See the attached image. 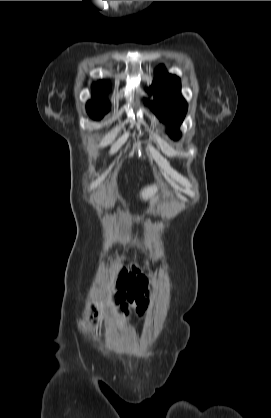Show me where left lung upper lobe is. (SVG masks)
Wrapping results in <instances>:
<instances>
[{"label":"left lung upper lobe","mask_w":271,"mask_h":418,"mask_svg":"<svg viewBox=\"0 0 271 418\" xmlns=\"http://www.w3.org/2000/svg\"><path fill=\"white\" fill-rule=\"evenodd\" d=\"M149 93L154 96V101L149 104L150 108L166 123L172 138H179V126L187 112V103L181 96L180 79L167 74L164 67L159 66Z\"/></svg>","instance_id":"obj_1"}]
</instances>
